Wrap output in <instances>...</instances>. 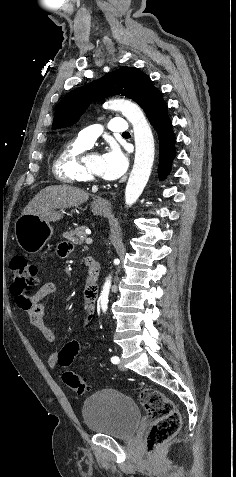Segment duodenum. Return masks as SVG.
Instances as JSON below:
<instances>
[{
	"instance_id": "duodenum-1",
	"label": "duodenum",
	"mask_w": 236,
	"mask_h": 477,
	"mask_svg": "<svg viewBox=\"0 0 236 477\" xmlns=\"http://www.w3.org/2000/svg\"><path fill=\"white\" fill-rule=\"evenodd\" d=\"M86 265H87V284L92 286L94 289L97 288L98 276H99V264L98 262L92 258H86Z\"/></svg>"
}]
</instances>
